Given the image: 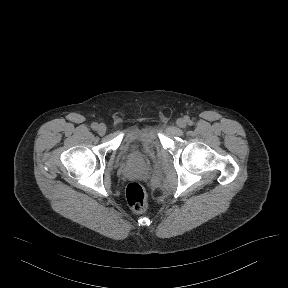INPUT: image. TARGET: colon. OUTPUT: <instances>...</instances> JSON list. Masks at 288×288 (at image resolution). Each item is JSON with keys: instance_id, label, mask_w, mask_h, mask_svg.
<instances>
[{"instance_id": "5ec220e1", "label": "colon", "mask_w": 288, "mask_h": 288, "mask_svg": "<svg viewBox=\"0 0 288 288\" xmlns=\"http://www.w3.org/2000/svg\"><path fill=\"white\" fill-rule=\"evenodd\" d=\"M126 201L132 211L142 214L146 211V191L137 181H132L126 188Z\"/></svg>"}]
</instances>
